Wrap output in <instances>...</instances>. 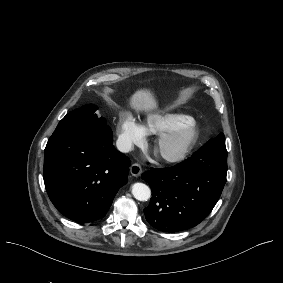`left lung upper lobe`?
<instances>
[{"label":"left lung upper lobe","mask_w":283,"mask_h":283,"mask_svg":"<svg viewBox=\"0 0 283 283\" xmlns=\"http://www.w3.org/2000/svg\"><path fill=\"white\" fill-rule=\"evenodd\" d=\"M214 139H217L219 141H222V142H225V138H224V134L223 133H220L216 138Z\"/></svg>","instance_id":"5c2ea615"}]
</instances>
